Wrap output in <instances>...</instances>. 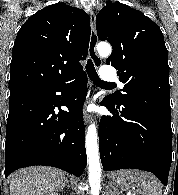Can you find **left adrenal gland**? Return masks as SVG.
I'll return each instance as SVG.
<instances>
[{
    "instance_id": "obj_1",
    "label": "left adrenal gland",
    "mask_w": 178,
    "mask_h": 195,
    "mask_svg": "<svg viewBox=\"0 0 178 195\" xmlns=\"http://www.w3.org/2000/svg\"><path fill=\"white\" fill-rule=\"evenodd\" d=\"M106 195H117V192L112 190V185L111 184H109L108 187H107Z\"/></svg>"
}]
</instances>
